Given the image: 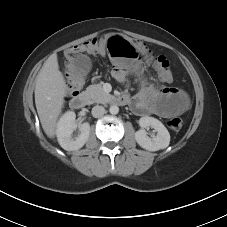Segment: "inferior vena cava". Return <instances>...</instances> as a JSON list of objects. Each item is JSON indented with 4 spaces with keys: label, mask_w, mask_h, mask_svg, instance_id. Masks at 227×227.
Returning a JSON list of instances; mask_svg holds the SVG:
<instances>
[{
    "label": "inferior vena cava",
    "mask_w": 227,
    "mask_h": 227,
    "mask_svg": "<svg viewBox=\"0 0 227 227\" xmlns=\"http://www.w3.org/2000/svg\"><path fill=\"white\" fill-rule=\"evenodd\" d=\"M105 108L103 106L96 105L92 108V115L95 118L101 117L105 114Z\"/></svg>",
    "instance_id": "602c4592"
}]
</instances>
